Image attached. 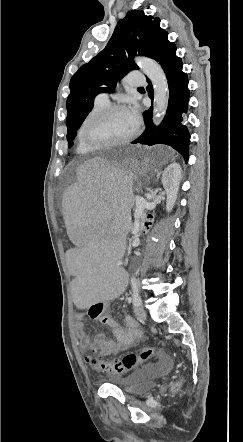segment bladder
Here are the masks:
<instances>
[{
  "instance_id": "obj_1",
  "label": "bladder",
  "mask_w": 243,
  "mask_h": 442,
  "mask_svg": "<svg viewBox=\"0 0 243 442\" xmlns=\"http://www.w3.org/2000/svg\"><path fill=\"white\" fill-rule=\"evenodd\" d=\"M169 364L166 357H161L154 363L136 368L126 377L113 379L111 383L129 395H141L153 387L154 380L169 367Z\"/></svg>"
}]
</instances>
